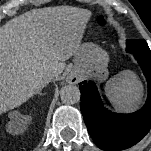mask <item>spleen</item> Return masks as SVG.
Returning a JSON list of instances; mask_svg holds the SVG:
<instances>
[{
  "mask_svg": "<svg viewBox=\"0 0 151 151\" xmlns=\"http://www.w3.org/2000/svg\"><path fill=\"white\" fill-rule=\"evenodd\" d=\"M105 94L115 109L132 111L140 101L141 85L133 72L124 71L106 83Z\"/></svg>",
  "mask_w": 151,
  "mask_h": 151,
  "instance_id": "obj_1",
  "label": "spleen"
}]
</instances>
